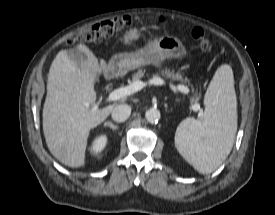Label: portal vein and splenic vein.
<instances>
[{"mask_svg": "<svg viewBox=\"0 0 275 215\" xmlns=\"http://www.w3.org/2000/svg\"><path fill=\"white\" fill-rule=\"evenodd\" d=\"M163 84H164V81L160 77H154V78L150 79L148 82L137 81V82H134L128 86L121 87V88H118V89L112 91L108 95L106 101L107 102L117 101L123 97L129 96L135 92H138L139 90L146 87L147 85H163ZM170 87L172 89H176L184 94H189V88L186 87L185 85H178V86L170 85ZM192 109L194 111H199V116H202V111H201L199 104H194L192 106Z\"/></svg>", "mask_w": 275, "mask_h": 215, "instance_id": "obj_1", "label": "portal vein and splenic vein"}]
</instances>
